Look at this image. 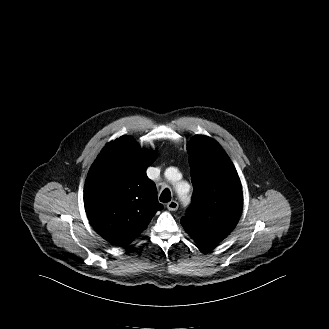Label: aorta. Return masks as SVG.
I'll return each instance as SVG.
<instances>
[{
  "mask_svg": "<svg viewBox=\"0 0 329 329\" xmlns=\"http://www.w3.org/2000/svg\"><path fill=\"white\" fill-rule=\"evenodd\" d=\"M167 177L171 180H175L176 176L178 175V170L176 168H169L167 170ZM183 184L177 186V192L180 197H184L185 193L182 190Z\"/></svg>",
  "mask_w": 329,
  "mask_h": 329,
  "instance_id": "aorta-1",
  "label": "aorta"
}]
</instances>
